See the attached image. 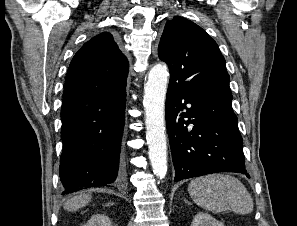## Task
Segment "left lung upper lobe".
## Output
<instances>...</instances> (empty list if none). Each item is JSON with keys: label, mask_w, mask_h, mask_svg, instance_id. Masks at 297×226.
Listing matches in <instances>:
<instances>
[{"label": "left lung upper lobe", "mask_w": 297, "mask_h": 226, "mask_svg": "<svg viewBox=\"0 0 297 226\" xmlns=\"http://www.w3.org/2000/svg\"><path fill=\"white\" fill-rule=\"evenodd\" d=\"M170 78L190 89L231 94L225 59L216 42L195 23L175 16L168 21L158 47Z\"/></svg>", "instance_id": "left-lung-upper-lobe-1"}]
</instances>
